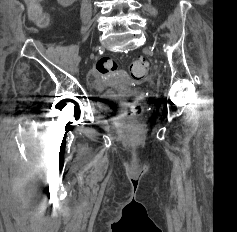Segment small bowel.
I'll return each mask as SVG.
<instances>
[{
    "label": "small bowel",
    "mask_w": 237,
    "mask_h": 232,
    "mask_svg": "<svg viewBox=\"0 0 237 232\" xmlns=\"http://www.w3.org/2000/svg\"><path fill=\"white\" fill-rule=\"evenodd\" d=\"M89 80L99 91L103 90L107 86V82L99 79L95 71L90 72Z\"/></svg>",
    "instance_id": "c3829d8e"
}]
</instances>
